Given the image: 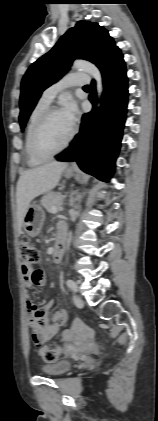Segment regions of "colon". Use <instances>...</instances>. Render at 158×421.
<instances>
[{
    "label": "colon",
    "mask_w": 158,
    "mask_h": 421,
    "mask_svg": "<svg viewBox=\"0 0 158 421\" xmlns=\"http://www.w3.org/2000/svg\"><path fill=\"white\" fill-rule=\"evenodd\" d=\"M20 254L24 270H34L39 263V251L31 243L28 237H22L20 240ZM61 351L57 345L42 346L39 349L40 357L47 363L55 362L60 355Z\"/></svg>",
    "instance_id": "1"
}]
</instances>
